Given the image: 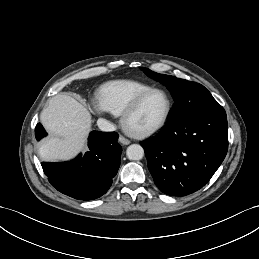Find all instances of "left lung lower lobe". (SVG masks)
I'll use <instances>...</instances> for the list:
<instances>
[{
	"instance_id": "0a47b994",
	"label": "left lung lower lobe",
	"mask_w": 259,
	"mask_h": 259,
	"mask_svg": "<svg viewBox=\"0 0 259 259\" xmlns=\"http://www.w3.org/2000/svg\"><path fill=\"white\" fill-rule=\"evenodd\" d=\"M156 186L165 194L185 196L202 188L228 150L223 107L167 123L155 137L141 142Z\"/></svg>"
}]
</instances>
